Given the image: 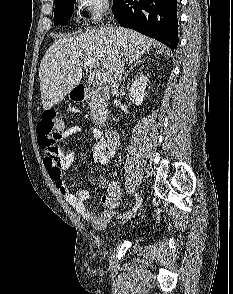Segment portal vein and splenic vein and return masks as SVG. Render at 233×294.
<instances>
[{
  "label": "portal vein and splenic vein",
  "instance_id": "obj_1",
  "mask_svg": "<svg viewBox=\"0 0 233 294\" xmlns=\"http://www.w3.org/2000/svg\"><path fill=\"white\" fill-rule=\"evenodd\" d=\"M83 64H84V66H88V67H99L100 66L99 61H96L95 59H91V58L85 59L83 61ZM106 81H107V77H106V73L105 72L99 73L96 76V83H97V85H100L101 86L104 83H106Z\"/></svg>",
  "mask_w": 233,
  "mask_h": 294
}]
</instances>
